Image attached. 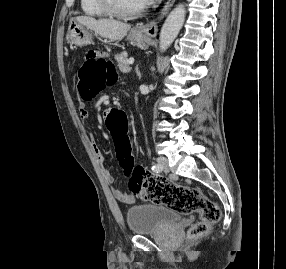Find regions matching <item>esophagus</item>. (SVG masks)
<instances>
[{"label": "esophagus", "mask_w": 286, "mask_h": 269, "mask_svg": "<svg viewBox=\"0 0 286 269\" xmlns=\"http://www.w3.org/2000/svg\"><path fill=\"white\" fill-rule=\"evenodd\" d=\"M174 2L175 0H166L157 18L145 24H138L136 29L146 37H155L158 32V22L168 13Z\"/></svg>", "instance_id": "34e87169"}]
</instances>
